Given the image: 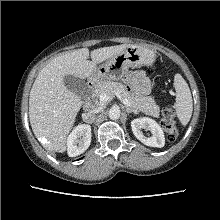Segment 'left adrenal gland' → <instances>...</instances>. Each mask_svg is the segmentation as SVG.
<instances>
[{
  "label": "left adrenal gland",
  "instance_id": "a2214340",
  "mask_svg": "<svg viewBox=\"0 0 220 220\" xmlns=\"http://www.w3.org/2000/svg\"><path fill=\"white\" fill-rule=\"evenodd\" d=\"M126 112H127L128 114H130V113L138 114L137 110H134V109L129 108V107H126Z\"/></svg>",
  "mask_w": 220,
  "mask_h": 220
}]
</instances>
